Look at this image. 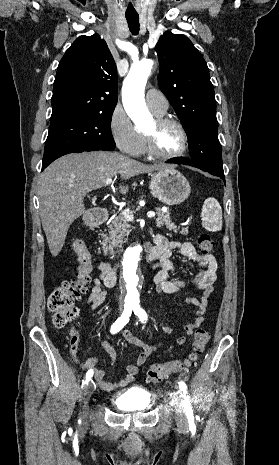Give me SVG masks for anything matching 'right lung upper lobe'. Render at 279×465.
I'll return each mask as SVG.
<instances>
[{
	"label": "right lung upper lobe",
	"instance_id": "right-lung-upper-lobe-1",
	"mask_svg": "<svg viewBox=\"0 0 279 465\" xmlns=\"http://www.w3.org/2000/svg\"><path fill=\"white\" fill-rule=\"evenodd\" d=\"M51 101L50 124L115 108L117 69L105 40L94 34L74 41L59 63Z\"/></svg>",
	"mask_w": 279,
	"mask_h": 465
}]
</instances>
